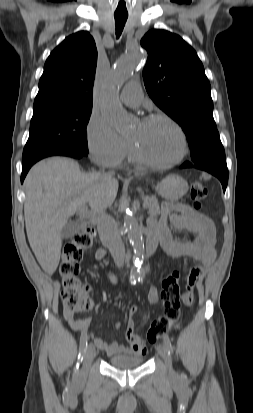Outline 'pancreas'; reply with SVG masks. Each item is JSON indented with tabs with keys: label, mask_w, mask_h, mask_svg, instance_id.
I'll list each match as a JSON object with an SVG mask.
<instances>
[{
	"label": "pancreas",
	"mask_w": 253,
	"mask_h": 413,
	"mask_svg": "<svg viewBox=\"0 0 253 413\" xmlns=\"http://www.w3.org/2000/svg\"><path fill=\"white\" fill-rule=\"evenodd\" d=\"M143 201L148 203V210L151 216L157 217L160 215V207L156 198L143 197Z\"/></svg>",
	"instance_id": "obj_1"
}]
</instances>
